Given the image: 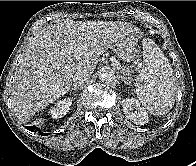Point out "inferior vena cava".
<instances>
[{"label":"inferior vena cava","mask_w":196,"mask_h":166,"mask_svg":"<svg viewBox=\"0 0 196 166\" xmlns=\"http://www.w3.org/2000/svg\"><path fill=\"white\" fill-rule=\"evenodd\" d=\"M92 73L88 71L76 72L73 76V82L76 84H83L91 77Z\"/></svg>","instance_id":"602c4592"}]
</instances>
